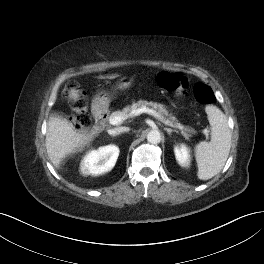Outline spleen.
<instances>
[{
  "instance_id": "spleen-1",
  "label": "spleen",
  "mask_w": 264,
  "mask_h": 264,
  "mask_svg": "<svg viewBox=\"0 0 264 264\" xmlns=\"http://www.w3.org/2000/svg\"><path fill=\"white\" fill-rule=\"evenodd\" d=\"M206 113L211 126V141L200 142L195 147L197 176L201 180L211 179L223 169L231 148V130L225 114L213 105L206 107Z\"/></svg>"
}]
</instances>
